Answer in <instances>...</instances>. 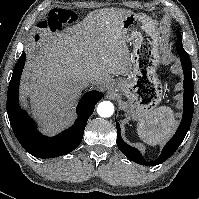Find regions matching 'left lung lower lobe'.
<instances>
[{
    "label": "left lung lower lobe",
    "mask_w": 199,
    "mask_h": 199,
    "mask_svg": "<svg viewBox=\"0 0 199 199\" xmlns=\"http://www.w3.org/2000/svg\"><path fill=\"white\" fill-rule=\"evenodd\" d=\"M178 54L181 58V65L183 68L184 73V95H183V105H184V111H183V117L182 121L180 123L179 128L177 129L175 135L172 137V139L165 145L163 148V151L161 155L153 162L148 163L143 160V157L141 153L136 149L128 144H126L120 133V125L116 121L117 125V145L120 151L124 153V155L131 161L142 164V165H159L166 161L179 147V145L184 140L193 117V111H194V103H193V95H194V84L192 79V66H191V60L188 55V53L179 48Z\"/></svg>",
    "instance_id": "1"
}]
</instances>
